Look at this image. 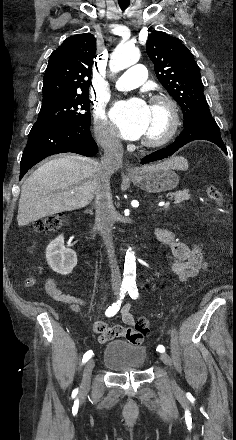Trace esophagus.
<instances>
[{"label":"esophagus","mask_w":236,"mask_h":440,"mask_svg":"<svg viewBox=\"0 0 236 440\" xmlns=\"http://www.w3.org/2000/svg\"><path fill=\"white\" fill-rule=\"evenodd\" d=\"M126 173H127L129 176H131V175H134V174L136 173V170H135L133 167H131V166H127V168H126Z\"/></svg>","instance_id":"34e87169"}]
</instances>
